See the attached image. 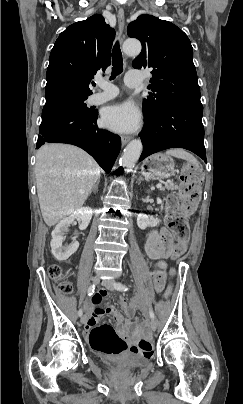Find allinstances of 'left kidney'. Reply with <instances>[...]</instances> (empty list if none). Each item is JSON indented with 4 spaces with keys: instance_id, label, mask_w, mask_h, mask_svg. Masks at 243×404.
Returning <instances> with one entry per match:
<instances>
[{
    "instance_id": "obj_1",
    "label": "left kidney",
    "mask_w": 243,
    "mask_h": 404,
    "mask_svg": "<svg viewBox=\"0 0 243 404\" xmlns=\"http://www.w3.org/2000/svg\"><path fill=\"white\" fill-rule=\"evenodd\" d=\"M157 204H162V200L160 198H157ZM163 206H161L162 210ZM160 220H152V218H149V216H146V214H138L137 218V226L140 228V230H145V228H148V226H158Z\"/></svg>"
}]
</instances>
